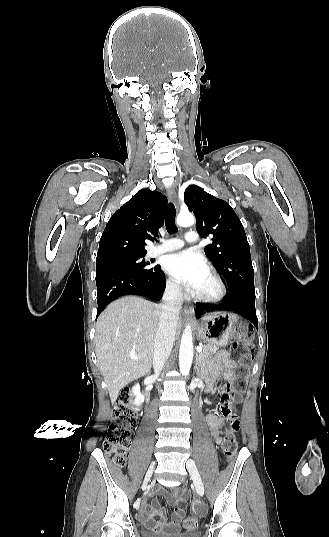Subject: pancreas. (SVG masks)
<instances>
[{
    "mask_svg": "<svg viewBox=\"0 0 329 537\" xmlns=\"http://www.w3.org/2000/svg\"><path fill=\"white\" fill-rule=\"evenodd\" d=\"M217 346L205 345L203 351L198 355V361L205 362L211 359L212 355L216 353Z\"/></svg>",
    "mask_w": 329,
    "mask_h": 537,
    "instance_id": "1",
    "label": "pancreas"
}]
</instances>
